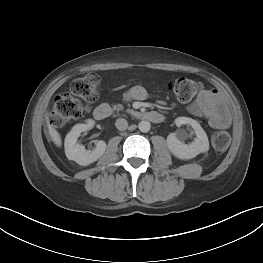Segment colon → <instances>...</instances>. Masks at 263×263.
Here are the masks:
<instances>
[{"instance_id": "obj_1", "label": "colon", "mask_w": 263, "mask_h": 263, "mask_svg": "<svg viewBox=\"0 0 263 263\" xmlns=\"http://www.w3.org/2000/svg\"><path fill=\"white\" fill-rule=\"evenodd\" d=\"M99 77L96 74H88L74 80L68 92L57 95L50 112V123L61 127L78 118L84 112L81 100L93 103L98 97ZM201 90L200 82L190 78H177L169 83V91L180 101L189 102ZM212 145L217 151L228 148L231 138L227 131H215L211 138Z\"/></svg>"}]
</instances>
